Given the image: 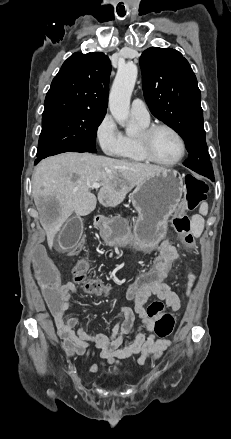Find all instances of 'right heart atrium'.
Listing matches in <instances>:
<instances>
[{
    "mask_svg": "<svg viewBox=\"0 0 231 439\" xmlns=\"http://www.w3.org/2000/svg\"><path fill=\"white\" fill-rule=\"evenodd\" d=\"M95 137L106 155H118L122 148L123 134L110 114H105L97 124Z\"/></svg>",
    "mask_w": 231,
    "mask_h": 439,
    "instance_id": "obj_1",
    "label": "right heart atrium"
}]
</instances>
